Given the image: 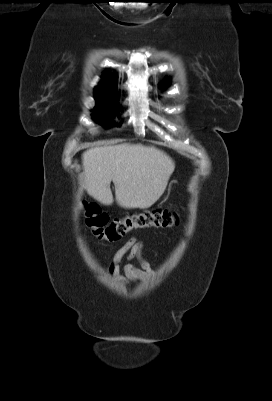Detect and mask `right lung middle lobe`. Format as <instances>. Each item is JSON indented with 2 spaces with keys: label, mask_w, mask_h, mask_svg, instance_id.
Returning a JSON list of instances; mask_svg holds the SVG:
<instances>
[{
  "label": "right lung middle lobe",
  "mask_w": 272,
  "mask_h": 401,
  "mask_svg": "<svg viewBox=\"0 0 272 401\" xmlns=\"http://www.w3.org/2000/svg\"><path fill=\"white\" fill-rule=\"evenodd\" d=\"M118 107L117 104L115 103V101L111 98V99H106V100H99L97 101V106L94 109L93 112V118L100 122V123H104L105 121L110 120L109 119V115L107 114V110L108 111H117Z\"/></svg>",
  "instance_id": "1"
}]
</instances>
